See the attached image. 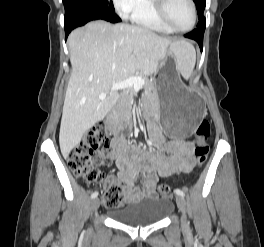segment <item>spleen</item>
<instances>
[{"label":"spleen","instance_id":"spleen-1","mask_svg":"<svg viewBox=\"0 0 264 247\" xmlns=\"http://www.w3.org/2000/svg\"><path fill=\"white\" fill-rule=\"evenodd\" d=\"M173 52L176 57L177 68L184 79L188 80L196 63V51L193 45L185 41L176 43Z\"/></svg>","mask_w":264,"mask_h":247}]
</instances>
